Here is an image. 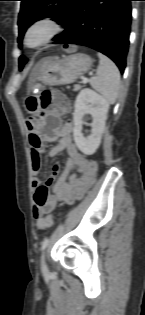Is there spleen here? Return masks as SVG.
<instances>
[{"mask_svg":"<svg viewBox=\"0 0 145 315\" xmlns=\"http://www.w3.org/2000/svg\"><path fill=\"white\" fill-rule=\"evenodd\" d=\"M100 59L97 74L89 82L93 89L110 104L115 103L120 90V72L117 66L105 55L98 53Z\"/></svg>","mask_w":145,"mask_h":315,"instance_id":"1","label":"spleen"}]
</instances>
